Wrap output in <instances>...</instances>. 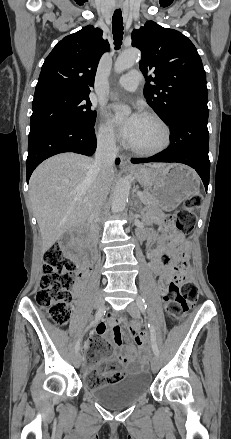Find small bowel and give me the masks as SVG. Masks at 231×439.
<instances>
[{"label":"small bowel","instance_id":"1","mask_svg":"<svg viewBox=\"0 0 231 439\" xmlns=\"http://www.w3.org/2000/svg\"><path fill=\"white\" fill-rule=\"evenodd\" d=\"M172 247H158L156 249H153L150 254V258L152 261V270L155 274H161V273H167L169 272V267L164 266L162 260L165 258H169L173 253ZM87 268L83 267L81 274L82 276L87 273ZM159 287L161 291H165V280L163 277H161L159 282ZM78 289H80V286H78ZM97 333L106 338L107 340L111 341L115 345V357L117 360L126 366L130 370H137L140 366L143 365V361H137L135 360V356L137 354L136 348L131 345L128 350H125L123 347V336L120 332L117 325L114 323H110L108 326L105 324H100L97 327ZM136 344L140 347L145 349L147 342L146 338L144 336H137L136 338ZM87 347V344H86ZM111 361V359H104L96 365L95 367L91 368L92 371H96L99 373H106V365Z\"/></svg>","mask_w":231,"mask_h":439}]
</instances>
